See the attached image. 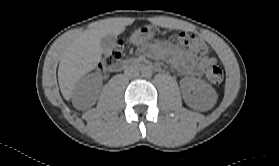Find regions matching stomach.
<instances>
[{
  "label": "stomach",
  "mask_w": 279,
  "mask_h": 166,
  "mask_svg": "<svg viewBox=\"0 0 279 166\" xmlns=\"http://www.w3.org/2000/svg\"><path fill=\"white\" fill-rule=\"evenodd\" d=\"M155 35V29L146 25L135 30L129 37V43L132 45H141L149 42Z\"/></svg>",
  "instance_id": "1"
}]
</instances>
